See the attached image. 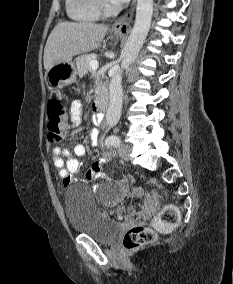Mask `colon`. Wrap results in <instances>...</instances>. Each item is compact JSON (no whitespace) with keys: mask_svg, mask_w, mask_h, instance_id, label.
Masks as SVG:
<instances>
[{"mask_svg":"<svg viewBox=\"0 0 233 284\" xmlns=\"http://www.w3.org/2000/svg\"><path fill=\"white\" fill-rule=\"evenodd\" d=\"M66 131V111L62 100L55 96L52 97L47 105V133L50 142H59ZM155 206L154 199L147 196L143 202L144 211H152ZM179 211L172 205L167 204L163 207L156 218V225L160 229H167L179 223ZM156 232L149 227L137 225L129 229L123 239V246L127 250H135L143 245L156 240Z\"/></svg>","mask_w":233,"mask_h":284,"instance_id":"5ec220e1","label":"colon"}]
</instances>
